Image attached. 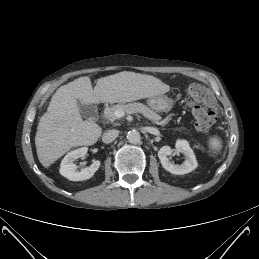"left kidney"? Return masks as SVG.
I'll return each instance as SVG.
<instances>
[{
	"mask_svg": "<svg viewBox=\"0 0 259 259\" xmlns=\"http://www.w3.org/2000/svg\"><path fill=\"white\" fill-rule=\"evenodd\" d=\"M176 152L182 153L185 155L186 159L181 165L172 163L169 160L170 155H172L173 150L170 146H163L158 151V157L160 162L165 170L175 175H183L190 173L197 167V160L194 155L193 150L189 146V143L186 140H177L175 144Z\"/></svg>",
	"mask_w": 259,
	"mask_h": 259,
	"instance_id": "left-kidney-1",
	"label": "left kidney"
}]
</instances>
